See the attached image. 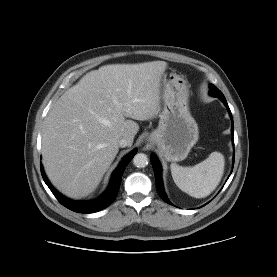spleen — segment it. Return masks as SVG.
<instances>
[{"label":"spleen","mask_w":277,"mask_h":277,"mask_svg":"<svg viewBox=\"0 0 277 277\" xmlns=\"http://www.w3.org/2000/svg\"><path fill=\"white\" fill-rule=\"evenodd\" d=\"M224 156L212 152L207 159L193 167L170 165L172 178L183 192L195 198L210 195L219 185L224 173Z\"/></svg>","instance_id":"spleen-1"}]
</instances>
